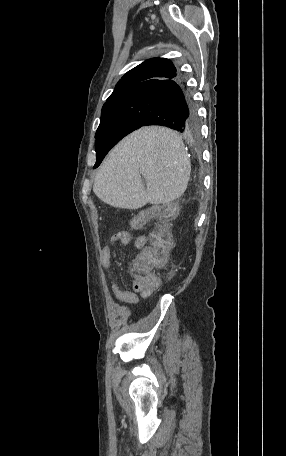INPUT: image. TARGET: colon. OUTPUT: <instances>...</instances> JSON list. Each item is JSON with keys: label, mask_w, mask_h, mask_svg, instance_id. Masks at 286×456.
Segmentation results:
<instances>
[{"label": "colon", "mask_w": 286, "mask_h": 456, "mask_svg": "<svg viewBox=\"0 0 286 456\" xmlns=\"http://www.w3.org/2000/svg\"><path fill=\"white\" fill-rule=\"evenodd\" d=\"M145 223L144 217L134 220L133 226L136 229L142 228ZM118 232L112 236L113 240L120 237ZM169 242L162 223L151 236V245L142 250L132 265L131 274L134 279L135 289L139 291H153L160 286V278L155 274L154 269L162 268L166 261Z\"/></svg>", "instance_id": "1"}]
</instances>
